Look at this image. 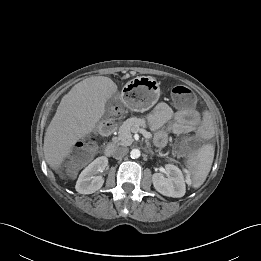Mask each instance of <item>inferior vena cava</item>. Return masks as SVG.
<instances>
[{
  "instance_id": "602c4592",
  "label": "inferior vena cava",
  "mask_w": 261,
  "mask_h": 261,
  "mask_svg": "<svg viewBox=\"0 0 261 261\" xmlns=\"http://www.w3.org/2000/svg\"><path fill=\"white\" fill-rule=\"evenodd\" d=\"M129 149L127 147H123V146H116L113 149V157L116 159H121L124 156H126L128 154Z\"/></svg>"
}]
</instances>
